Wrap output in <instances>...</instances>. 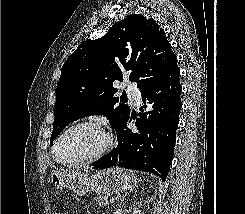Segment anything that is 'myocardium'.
<instances>
[{
	"instance_id": "1",
	"label": "myocardium",
	"mask_w": 245,
	"mask_h": 214,
	"mask_svg": "<svg viewBox=\"0 0 245 214\" xmlns=\"http://www.w3.org/2000/svg\"><path fill=\"white\" fill-rule=\"evenodd\" d=\"M83 126H87V127H91L96 129L97 131H99L101 133V135L104 138V143L102 145V147L95 152L94 154L85 157V158H80V159H74V160H61L58 158L57 156V147L59 142L61 141V139L71 130L78 128V127H83ZM113 146V139L112 136L109 134V132L102 127L99 123L95 122V121H91V120H83V121H79L76 122L74 124H72L71 126H69L68 128H66L54 141V144L52 146V156L55 159V161H57L58 163L62 164V165H66V166H76V165H82V164H86V163H92L95 162L99 159H101L105 154H107L111 148Z\"/></svg>"
}]
</instances>
